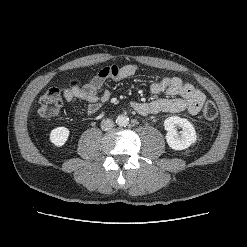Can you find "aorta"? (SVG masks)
<instances>
[{"instance_id":"obj_1","label":"aorta","mask_w":247,"mask_h":247,"mask_svg":"<svg viewBox=\"0 0 247 247\" xmlns=\"http://www.w3.org/2000/svg\"><path fill=\"white\" fill-rule=\"evenodd\" d=\"M129 123V118L126 115H119L116 118V124L119 126H127Z\"/></svg>"}]
</instances>
